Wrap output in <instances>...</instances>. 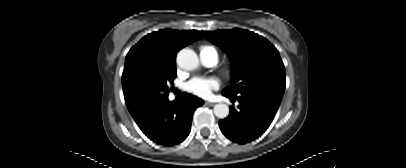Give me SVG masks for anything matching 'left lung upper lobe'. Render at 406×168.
Returning <instances> with one entry per match:
<instances>
[{
  "mask_svg": "<svg viewBox=\"0 0 406 168\" xmlns=\"http://www.w3.org/2000/svg\"><path fill=\"white\" fill-rule=\"evenodd\" d=\"M233 64L232 85L222 93L238 96L261 92L283 96L285 67L278 50L264 37L243 29L203 32Z\"/></svg>",
  "mask_w": 406,
  "mask_h": 168,
  "instance_id": "obj_1",
  "label": "left lung upper lobe"
}]
</instances>
